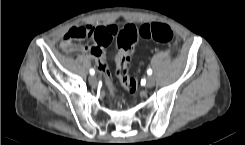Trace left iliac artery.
I'll use <instances>...</instances> for the list:
<instances>
[{"label":"left iliac artery","instance_id":"obj_1","mask_svg":"<svg viewBox=\"0 0 245 145\" xmlns=\"http://www.w3.org/2000/svg\"><path fill=\"white\" fill-rule=\"evenodd\" d=\"M147 74H148V75H151V74H152V69L149 68V69L147 70Z\"/></svg>","mask_w":245,"mask_h":145}]
</instances>
